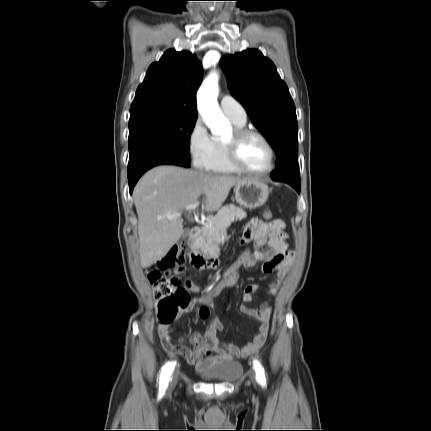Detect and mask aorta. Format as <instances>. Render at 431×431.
I'll return each instance as SVG.
<instances>
[{"label":"aorta","mask_w":431,"mask_h":431,"mask_svg":"<svg viewBox=\"0 0 431 431\" xmlns=\"http://www.w3.org/2000/svg\"><path fill=\"white\" fill-rule=\"evenodd\" d=\"M217 95L218 75L213 72L205 79L197 92V106L214 136L223 135L231 129L230 123L219 108Z\"/></svg>","instance_id":"1"}]
</instances>
